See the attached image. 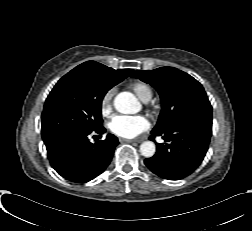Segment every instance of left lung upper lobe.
I'll return each mask as SVG.
<instances>
[{"instance_id": "1", "label": "left lung upper lobe", "mask_w": 252, "mask_h": 231, "mask_svg": "<svg viewBox=\"0 0 252 231\" xmlns=\"http://www.w3.org/2000/svg\"><path fill=\"white\" fill-rule=\"evenodd\" d=\"M132 77L151 84L159 93L162 110L152 132L160 133L191 117L212 119V107L202 85L173 67L135 71Z\"/></svg>"}]
</instances>
